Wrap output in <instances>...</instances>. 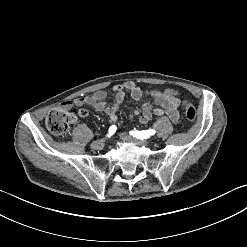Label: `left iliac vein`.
<instances>
[{"label": "left iliac vein", "mask_w": 247, "mask_h": 247, "mask_svg": "<svg viewBox=\"0 0 247 247\" xmlns=\"http://www.w3.org/2000/svg\"><path fill=\"white\" fill-rule=\"evenodd\" d=\"M120 137L124 141H127V142L139 143V144H142V145H149L150 144L149 140H139L137 138H134V137H132L130 135H127V134H124V133H121Z\"/></svg>", "instance_id": "obj_1"}]
</instances>
